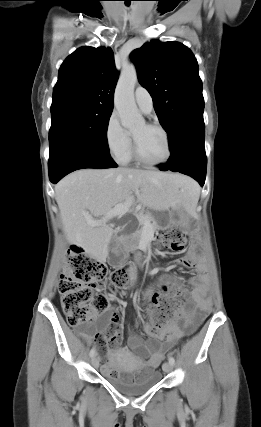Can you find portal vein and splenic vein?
I'll list each match as a JSON object with an SVG mask.
<instances>
[{
	"instance_id": "portal-vein-and-splenic-vein-1",
	"label": "portal vein and splenic vein",
	"mask_w": 261,
	"mask_h": 427,
	"mask_svg": "<svg viewBox=\"0 0 261 427\" xmlns=\"http://www.w3.org/2000/svg\"><path fill=\"white\" fill-rule=\"evenodd\" d=\"M131 204L129 202L124 204H118L114 208H112L105 216H103L99 220L94 219H88L87 223L93 227L101 226L106 224L108 220L112 219L113 217H121L124 214H126L129 211ZM140 221L144 220V216L142 214L137 215ZM145 227H147L149 224L147 222L144 223Z\"/></svg>"
}]
</instances>
